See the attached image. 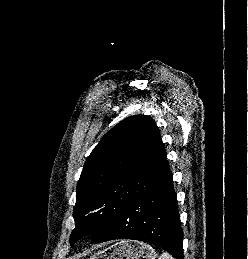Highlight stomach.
I'll return each instance as SVG.
<instances>
[{
  "label": "stomach",
  "instance_id": "1",
  "mask_svg": "<svg viewBox=\"0 0 248 259\" xmlns=\"http://www.w3.org/2000/svg\"><path fill=\"white\" fill-rule=\"evenodd\" d=\"M155 250L139 241L122 240L94 253L90 259H156Z\"/></svg>",
  "mask_w": 248,
  "mask_h": 259
}]
</instances>
